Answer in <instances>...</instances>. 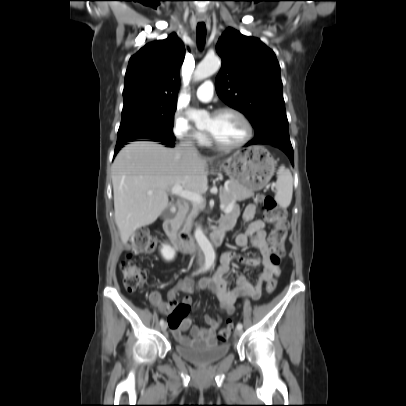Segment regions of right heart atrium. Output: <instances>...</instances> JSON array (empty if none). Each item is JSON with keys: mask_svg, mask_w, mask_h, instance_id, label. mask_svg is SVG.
I'll use <instances>...</instances> for the list:
<instances>
[{"mask_svg": "<svg viewBox=\"0 0 406 406\" xmlns=\"http://www.w3.org/2000/svg\"><path fill=\"white\" fill-rule=\"evenodd\" d=\"M172 129L174 135L181 141L187 143H199L203 144L206 139V135L203 131L195 129L188 121L187 117L176 112L173 117Z\"/></svg>", "mask_w": 406, "mask_h": 406, "instance_id": "1", "label": "right heart atrium"}]
</instances>
